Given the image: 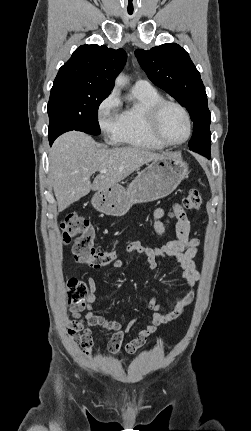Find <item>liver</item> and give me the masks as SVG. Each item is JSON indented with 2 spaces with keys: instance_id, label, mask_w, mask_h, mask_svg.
<instances>
[{
  "instance_id": "1",
  "label": "liver",
  "mask_w": 251,
  "mask_h": 431,
  "mask_svg": "<svg viewBox=\"0 0 251 431\" xmlns=\"http://www.w3.org/2000/svg\"><path fill=\"white\" fill-rule=\"evenodd\" d=\"M139 147L108 149L85 133L70 131L59 136L49 155V178L58 211L86 196L118 184L144 164L162 158ZM107 169L106 173L100 171ZM99 171L91 183L90 177Z\"/></svg>"
}]
</instances>
